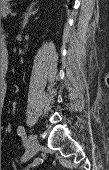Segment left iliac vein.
<instances>
[{
	"instance_id": "4c4485c4",
	"label": "left iliac vein",
	"mask_w": 109,
	"mask_h": 170,
	"mask_svg": "<svg viewBox=\"0 0 109 170\" xmlns=\"http://www.w3.org/2000/svg\"><path fill=\"white\" fill-rule=\"evenodd\" d=\"M38 149V141L36 137L32 134H30L27 138V149L22 157V162H26L30 160L37 152Z\"/></svg>"
}]
</instances>
